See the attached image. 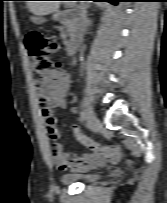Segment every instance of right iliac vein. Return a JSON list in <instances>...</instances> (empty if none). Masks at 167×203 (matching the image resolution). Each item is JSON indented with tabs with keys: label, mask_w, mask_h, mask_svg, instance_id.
I'll return each mask as SVG.
<instances>
[{
	"label": "right iliac vein",
	"mask_w": 167,
	"mask_h": 203,
	"mask_svg": "<svg viewBox=\"0 0 167 203\" xmlns=\"http://www.w3.org/2000/svg\"><path fill=\"white\" fill-rule=\"evenodd\" d=\"M84 107H85V113L87 116V126L90 130L94 128V126L97 124L98 119L93 111V108L89 102V100L84 97L83 99Z\"/></svg>",
	"instance_id": "right-iliac-vein-1"
}]
</instances>
